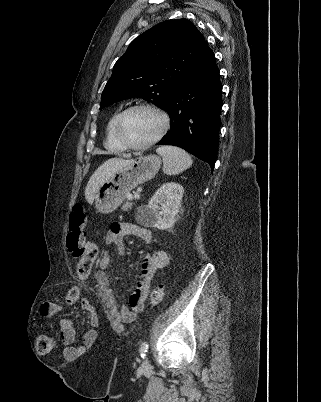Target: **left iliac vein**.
<instances>
[{
	"mask_svg": "<svg viewBox=\"0 0 321 402\" xmlns=\"http://www.w3.org/2000/svg\"><path fill=\"white\" fill-rule=\"evenodd\" d=\"M142 365H143V367H146V368L149 367V362H148V360L145 359V360L143 361Z\"/></svg>",
	"mask_w": 321,
	"mask_h": 402,
	"instance_id": "1",
	"label": "left iliac vein"
}]
</instances>
